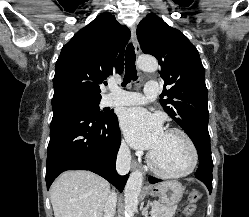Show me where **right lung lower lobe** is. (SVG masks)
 Returning a JSON list of instances; mask_svg holds the SVG:
<instances>
[{
	"label": "right lung lower lobe",
	"mask_w": 249,
	"mask_h": 217,
	"mask_svg": "<svg viewBox=\"0 0 249 217\" xmlns=\"http://www.w3.org/2000/svg\"><path fill=\"white\" fill-rule=\"evenodd\" d=\"M52 109L47 189L66 170H89L122 192L128 175L120 176L115 169L121 142L117 116L99 118L80 103L66 98L52 99Z\"/></svg>",
	"instance_id": "1"
}]
</instances>
